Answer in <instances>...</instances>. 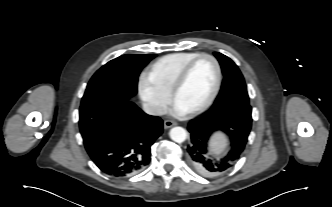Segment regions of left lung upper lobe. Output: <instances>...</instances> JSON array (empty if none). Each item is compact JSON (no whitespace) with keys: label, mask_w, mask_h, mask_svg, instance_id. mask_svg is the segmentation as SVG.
I'll list each match as a JSON object with an SVG mask.
<instances>
[{"label":"left lung upper lobe","mask_w":332,"mask_h":207,"mask_svg":"<svg viewBox=\"0 0 332 207\" xmlns=\"http://www.w3.org/2000/svg\"><path fill=\"white\" fill-rule=\"evenodd\" d=\"M214 55L220 62L224 79L212 108L231 102L249 103L246 84L237 65L221 53L215 52Z\"/></svg>","instance_id":"1"}]
</instances>
